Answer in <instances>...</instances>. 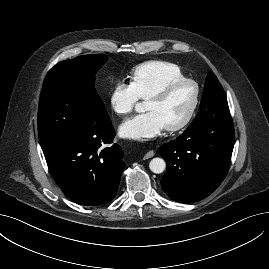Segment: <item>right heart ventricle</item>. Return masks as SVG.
Segmentation results:
<instances>
[{
    "label": "right heart ventricle",
    "instance_id": "right-heart-ventricle-1",
    "mask_svg": "<svg viewBox=\"0 0 269 269\" xmlns=\"http://www.w3.org/2000/svg\"><path fill=\"white\" fill-rule=\"evenodd\" d=\"M182 78L185 76L177 65L164 61H148L131 72V84L141 99H147L168 82Z\"/></svg>",
    "mask_w": 269,
    "mask_h": 269
}]
</instances>
